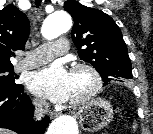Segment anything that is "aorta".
<instances>
[{"instance_id":"1","label":"aorta","mask_w":153,"mask_h":134,"mask_svg":"<svg viewBox=\"0 0 153 134\" xmlns=\"http://www.w3.org/2000/svg\"><path fill=\"white\" fill-rule=\"evenodd\" d=\"M72 20L68 13L55 11L44 21L41 33L46 39H53L70 30ZM78 126L73 117L63 115L53 121L47 134H78Z\"/></svg>"}]
</instances>
